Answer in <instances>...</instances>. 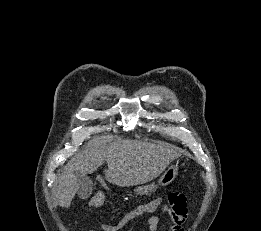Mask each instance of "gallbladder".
<instances>
[{
  "instance_id": "obj_1",
  "label": "gallbladder",
  "mask_w": 261,
  "mask_h": 231,
  "mask_svg": "<svg viewBox=\"0 0 261 231\" xmlns=\"http://www.w3.org/2000/svg\"><path fill=\"white\" fill-rule=\"evenodd\" d=\"M78 180V195L80 198H85L89 196L92 192L93 183L92 180L87 175H77Z\"/></svg>"
}]
</instances>
